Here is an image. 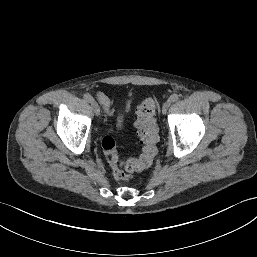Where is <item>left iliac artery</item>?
I'll use <instances>...</instances> for the list:
<instances>
[{
	"label": "left iliac artery",
	"instance_id": "1",
	"mask_svg": "<svg viewBox=\"0 0 257 257\" xmlns=\"http://www.w3.org/2000/svg\"><path fill=\"white\" fill-rule=\"evenodd\" d=\"M169 100H170L171 102L178 101V100H179V95H178V94H172V95L169 97Z\"/></svg>",
	"mask_w": 257,
	"mask_h": 257
}]
</instances>
